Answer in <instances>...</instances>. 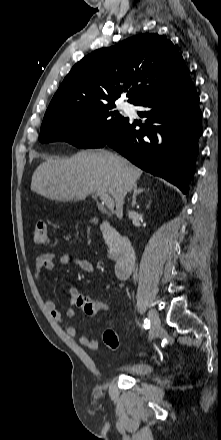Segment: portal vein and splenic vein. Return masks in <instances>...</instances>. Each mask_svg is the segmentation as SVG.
Returning <instances> with one entry per match:
<instances>
[{
	"instance_id": "1",
	"label": "portal vein and splenic vein",
	"mask_w": 221,
	"mask_h": 440,
	"mask_svg": "<svg viewBox=\"0 0 221 440\" xmlns=\"http://www.w3.org/2000/svg\"><path fill=\"white\" fill-rule=\"evenodd\" d=\"M97 196L103 201V203L106 204L108 209H110V210L114 209V200L110 196V194L105 193V192H100V193H97Z\"/></svg>"
}]
</instances>
